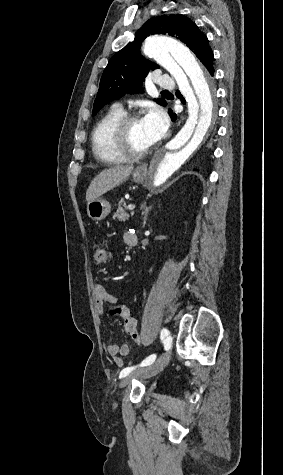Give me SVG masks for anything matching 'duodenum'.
<instances>
[{"label":"duodenum","instance_id":"duodenum-1","mask_svg":"<svg viewBox=\"0 0 283 475\" xmlns=\"http://www.w3.org/2000/svg\"><path fill=\"white\" fill-rule=\"evenodd\" d=\"M136 244H137V240H136V239H132L131 242H130V246H131V247H134V246H136Z\"/></svg>","mask_w":283,"mask_h":475}]
</instances>
